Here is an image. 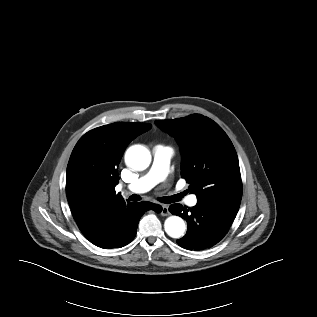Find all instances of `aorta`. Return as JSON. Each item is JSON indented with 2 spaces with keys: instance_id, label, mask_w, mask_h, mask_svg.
<instances>
[{
  "instance_id": "aorta-1",
  "label": "aorta",
  "mask_w": 317,
  "mask_h": 317,
  "mask_svg": "<svg viewBox=\"0 0 317 317\" xmlns=\"http://www.w3.org/2000/svg\"><path fill=\"white\" fill-rule=\"evenodd\" d=\"M151 162L150 151L142 145L131 146L125 153V164L134 171H143ZM165 232L172 238L183 236L186 225L179 216H170L164 222Z\"/></svg>"
}]
</instances>
